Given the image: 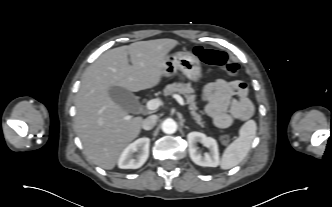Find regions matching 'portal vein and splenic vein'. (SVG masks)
I'll return each mask as SVG.
<instances>
[{
	"label": "portal vein and splenic vein",
	"mask_w": 332,
	"mask_h": 207,
	"mask_svg": "<svg viewBox=\"0 0 332 207\" xmlns=\"http://www.w3.org/2000/svg\"><path fill=\"white\" fill-rule=\"evenodd\" d=\"M173 97L177 100V102L181 105V106H184L185 103H184V100L183 98L178 95V94H173ZM161 105V102L158 100V99H152V100H149L147 103H146V108L148 110H155L157 109L159 106Z\"/></svg>",
	"instance_id": "18ae733b"
}]
</instances>
